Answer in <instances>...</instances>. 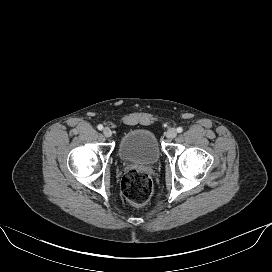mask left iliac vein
<instances>
[{
	"label": "left iliac vein",
	"instance_id": "left-iliac-vein-1",
	"mask_svg": "<svg viewBox=\"0 0 272 272\" xmlns=\"http://www.w3.org/2000/svg\"><path fill=\"white\" fill-rule=\"evenodd\" d=\"M167 138L173 139L177 136V130L175 128H171L166 133Z\"/></svg>",
	"mask_w": 272,
	"mask_h": 272
}]
</instances>
